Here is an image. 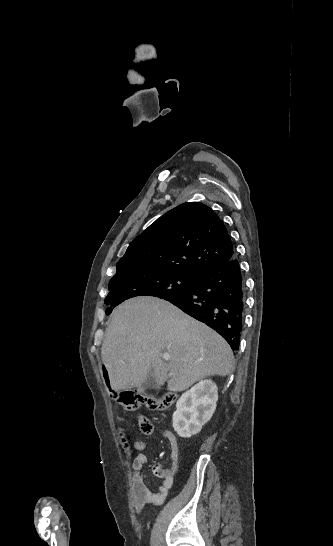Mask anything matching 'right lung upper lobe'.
I'll use <instances>...</instances> for the list:
<instances>
[{
	"label": "right lung upper lobe",
	"instance_id": "obj_1",
	"mask_svg": "<svg viewBox=\"0 0 333 546\" xmlns=\"http://www.w3.org/2000/svg\"><path fill=\"white\" fill-rule=\"evenodd\" d=\"M235 255L217 214L204 204L188 202L168 211L137 236L117 269L137 267L199 277Z\"/></svg>",
	"mask_w": 333,
	"mask_h": 546
}]
</instances>
